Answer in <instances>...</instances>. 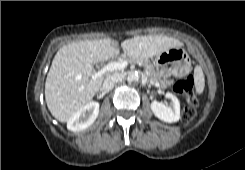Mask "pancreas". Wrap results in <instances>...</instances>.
Returning a JSON list of instances; mask_svg holds the SVG:
<instances>
[{
	"instance_id": "obj_1",
	"label": "pancreas",
	"mask_w": 245,
	"mask_h": 170,
	"mask_svg": "<svg viewBox=\"0 0 245 170\" xmlns=\"http://www.w3.org/2000/svg\"><path fill=\"white\" fill-rule=\"evenodd\" d=\"M130 63H135L144 68L145 73L155 83H160L161 88H167L173 84L172 80H168L160 75L156 67L150 62L149 59L143 57H128Z\"/></svg>"
}]
</instances>
